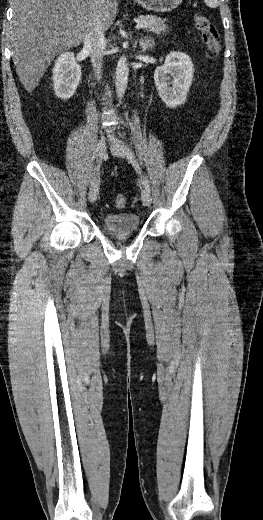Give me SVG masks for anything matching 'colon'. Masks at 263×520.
I'll list each match as a JSON object with an SVG mask.
<instances>
[{
  "instance_id": "colon-1",
  "label": "colon",
  "mask_w": 263,
  "mask_h": 520,
  "mask_svg": "<svg viewBox=\"0 0 263 520\" xmlns=\"http://www.w3.org/2000/svg\"><path fill=\"white\" fill-rule=\"evenodd\" d=\"M193 23L201 34L207 58L216 60L221 53L220 35L216 26L206 15L201 13L194 15ZM115 205L117 208H123L126 205V198L123 194H118L115 197Z\"/></svg>"
}]
</instances>
